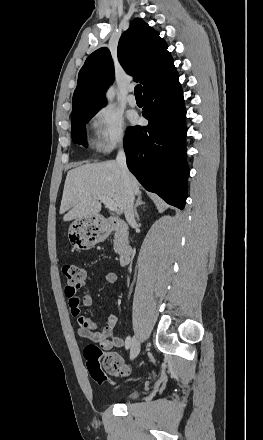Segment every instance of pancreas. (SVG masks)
Instances as JSON below:
<instances>
[{"instance_id":"obj_1","label":"pancreas","mask_w":263,"mask_h":440,"mask_svg":"<svg viewBox=\"0 0 263 440\" xmlns=\"http://www.w3.org/2000/svg\"><path fill=\"white\" fill-rule=\"evenodd\" d=\"M118 237H119V233L116 232L115 239H114V250H115V252H119V248H120Z\"/></svg>"}]
</instances>
